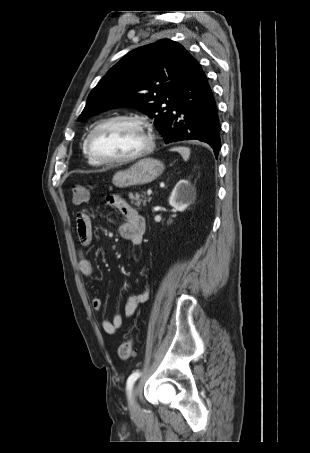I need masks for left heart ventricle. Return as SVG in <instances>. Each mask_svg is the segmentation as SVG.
Returning <instances> with one entry per match:
<instances>
[{
	"mask_svg": "<svg viewBox=\"0 0 310 453\" xmlns=\"http://www.w3.org/2000/svg\"><path fill=\"white\" fill-rule=\"evenodd\" d=\"M145 144L143 131L135 124L125 121L113 122L100 128L92 139L94 152L107 158L132 155Z\"/></svg>",
	"mask_w": 310,
	"mask_h": 453,
	"instance_id": "1",
	"label": "left heart ventricle"
}]
</instances>
